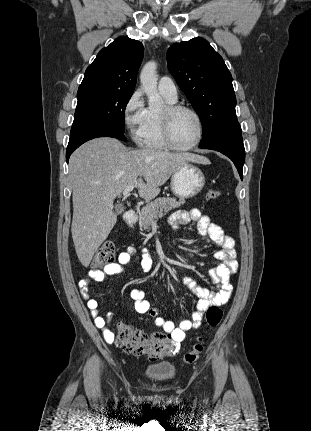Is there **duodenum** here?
Masks as SVG:
<instances>
[{
    "label": "duodenum",
    "mask_w": 311,
    "mask_h": 431,
    "mask_svg": "<svg viewBox=\"0 0 311 431\" xmlns=\"http://www.w3.org/2000/svg\"><path fill=\"white\" fill-rule=\"evenodd\" d=\"M136 211L134 209H128L124 215L123 220L126 224L130 225L136 220Z\"/></svg>",
    "instance_id": "1"
}]
</instances>
